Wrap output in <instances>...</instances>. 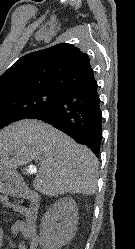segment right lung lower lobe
Instances as JSON below:
<instances>
[{
	"label": "right lung lower lobe",
	"instance_id": "right-lung-lower-lobe-1",
	"mask_svg": "<svg viewBox=\"0 0 135 249\" xmlns=\"http://www.w3.org/2000/svg\"><path fill=\"white\" fill-rule=\"evenodd\" d=\"M45 121L98 157L102 140V113L97 81L73 87L29 116Z\"/></svg>",
	"mask_w": 135,
	"mask_h": 249
}]
</instances>
